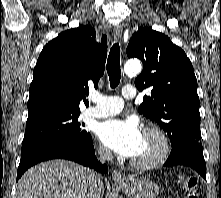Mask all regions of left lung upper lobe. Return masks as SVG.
<instances>
[{"instance_id": "obj_1", "label": "left lung upper lobe", "mask_w": 221, "mask_h": 198, "mask_svg": "<svg viewBox=\"0 0 221 198\" xmlns=\"http://www.w3.org/2000/svg\"><path fill=\"white\" fill-rule=\"evenodd\" d=\"M126 52L144 65L135 80L138 90L151 89L138 111L167 133L172 149L202 147L197 80L185 52L150 27H140L132 35Z\"/></svg>"}]
</instances>
